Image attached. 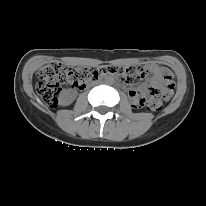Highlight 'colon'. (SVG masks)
Here are the masks:
<instances>
[{"label":"colon","instance_id":"obj_1","mask_svg":"<svg viewBox=\"0 0 206 206\" xmlns=\"http://www.w3.org/2000/svg\"><path fill=\"white\" fill-rule=\"evenodd\" d=\"M104 73L118 74L125 79H138L143 77L146 71L136 67L74 68L52 62L45 64L37 71L36 90L45 104L55 107L61 85L69 84L73 87L84 88L89 81L97 79ZM173 88L171 75H166L158 84L149 87L147 95L138 97V106L154 111L160 110L162 100L171 96Z\"/></svg>","mask_w":206,"mask_h":206}]
</instances>
